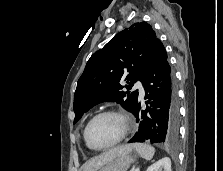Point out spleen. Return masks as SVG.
<instances>
[{
    "label": "spleen",
    "mask_w": 223,
    "mask_h": 171,
    "mask_svg": "<svg viewBox=\"0 0 223 171\" xmlns=\"http://www.w3.org/2000/svg\"><path fill=\"white\" fill-rule=\"evenodd\" d=\"M136 152L144 159L151 160L155 154V148L144 143H135Z\"/></svg>",
    "instance_id": "1"
}]
</instances>
